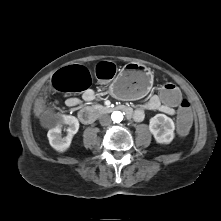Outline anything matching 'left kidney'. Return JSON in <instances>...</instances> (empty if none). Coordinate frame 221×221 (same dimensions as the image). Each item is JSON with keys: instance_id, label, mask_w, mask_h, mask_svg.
Returning <instances> with one entry per match:
<instances>
[{"instance_id": "1", "label": "left kidney", "mask_w": 221, "mask_h": 221, "mask_svg": "<svg viewBox=\"0 0 221 221\" xmlns=\"http://www.w3.org/2000/svg\"><path fill=\"white\" fill-rule=\"evenodd\" d=\"M149 130L157 143L169 144L174 139L175 125L165 114H156L150 119Z\"/></svg>"}]
</instances>
